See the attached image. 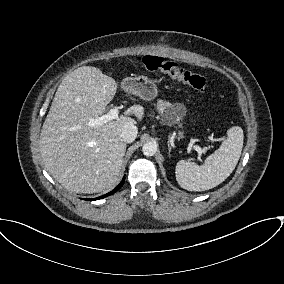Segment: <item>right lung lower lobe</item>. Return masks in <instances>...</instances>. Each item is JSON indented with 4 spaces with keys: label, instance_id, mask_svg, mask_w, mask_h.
<instances>
[{
    "label": "right lung lower lobe",
    "instance_id": "right-lung-lower-lobe-1",
    "mask_svg": "<svg viewBox=\"0 0 284 284\" xmlns=\"http://www.w3.org/2000/svg\"><path fill=\"white\" fill-rule=\"evenodd\" d=\"M124 181H125V177L123 178V180L121 181V183H120L114 190H112L111 192H109V193H107V194H105V195H103V196H100V197H98V198L87 199V200H90V201L98 200V199H101V198H104V197H107V196H109V195L114 194L115 192H117V191L122 187V185L124 184Z\"/></svg>",
    "mask_w": 284,
    "mask_h": 284
}]
</instances>
